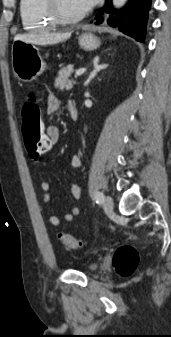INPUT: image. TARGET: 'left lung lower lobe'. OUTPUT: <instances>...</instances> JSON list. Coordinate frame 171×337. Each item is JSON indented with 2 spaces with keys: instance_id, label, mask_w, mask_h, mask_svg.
<instances>
[{
  "instance_id": "1",
  "label": "left lung lower lobe",
  "mask_w": 171,
  "mask_h": 337,
  "mask_svg": "<svg viewBox=\"0 0 171 337\" xmlns=\"http://www.w3.org/2000/svg\"><path fill=\"white\" fill-rule=\"evenodd\" d=\"M150 4L151 0H130L127 5V9L124 8L117 11L113 9L111 0H107L105 11L110 13L107 23L111 27H117L123 33L135 38L137 41L142 42L145 36L147 15L150 9ZM102 13L103 10H101L100 14L96 16V24L103 21L101 16ZM113 13H116V18L120 20L115 19L113 17Z\"/></svg>"
}]
</instances>
